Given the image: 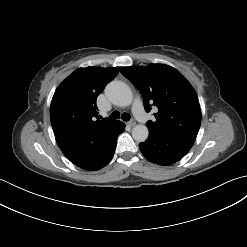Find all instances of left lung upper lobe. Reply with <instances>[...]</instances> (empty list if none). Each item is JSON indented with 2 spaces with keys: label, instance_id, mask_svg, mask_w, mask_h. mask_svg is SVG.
<instances>
[{
  "label": "left lung upper lobe",
  "instance_id": "1",
  "mask_svg": "<svg viewBox=\"0 0 247 247\" xmlns=\"http://www.w3.org/2000/svg\"><path fill=\"white\" fill-rule=\"evenodd\" d=\"M120 72L140 91L146 112L158 108L149 121L150 134L194 143L201 124L198 96L175 68L166 64L123 67Z\"/></svg>",
  "mask_w": 247,
  "mask_h": 247
}]
</instances>
